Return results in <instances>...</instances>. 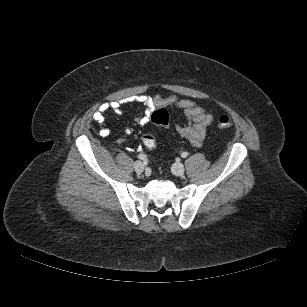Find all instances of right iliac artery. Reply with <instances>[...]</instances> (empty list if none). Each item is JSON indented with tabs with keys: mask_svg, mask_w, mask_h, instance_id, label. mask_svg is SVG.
<instances>
[{
	"mask_svg": "<svg viewBox=\"0 0 307 307\" xmlns=\"http://www.w3.org/2000/svg\"><path fill=\"white\" fill-rule=\"evenodd\" d=\"M138 158L144 161L147 160V156L145 154H139Z\"/></svg>",
	"mask_w": 307,
	"mask_h": 307,
	"instance_id": "82829eb1",
	"label": "right iliac artery"
}]
</instances>
